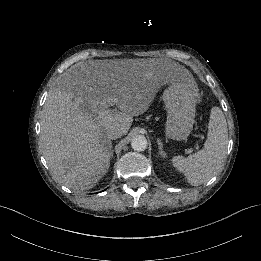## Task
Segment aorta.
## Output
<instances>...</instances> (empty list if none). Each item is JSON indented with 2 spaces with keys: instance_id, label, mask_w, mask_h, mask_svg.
I'll return each mask as SVG.
<instances>
[{
  "instance_id": "762f6f07",
  "label": "aorta",
  "mask_w": 261,
  "mask_h": 261,
  "mask_svg": "<svg viewBox=\"0 0 261 261\" xmlns=\"http://www.w3.org/2000/svg\"><path fill=\"white\" fill-rule=\"evenodd\" d=\"M147 140L144 136H136L131 141V147L134 151L142 152L147 149Z\"/></svg>"
}]
</instances>
